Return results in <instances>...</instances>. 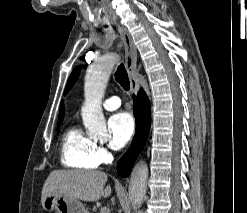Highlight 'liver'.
Instances as JSON below:
<instances>
[{
    "instance_id": "liver-1",
    "label": "liver",
    "mask_w": 247,
    "mask_h": 213,
    "mask_svg": "<svg viewBox=\"0 0 247 213\" xmlns=\"http://www.w3.org/2000/svg\"><path fill=\"white\" fill-rule=\"evenodd\" d=\"M105 172L96 170H55L47 177L41 195L43 201L48 195H64L86 202L98 201L111 195V186L104 188Z\"/></svg>"
}]
</instances>
